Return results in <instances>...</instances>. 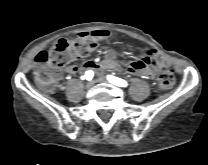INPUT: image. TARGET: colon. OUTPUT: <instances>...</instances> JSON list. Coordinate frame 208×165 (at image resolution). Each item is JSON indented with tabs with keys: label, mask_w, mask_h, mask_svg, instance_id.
Instances as JSON below:
<instances>
[{
	"label": "colon",
	"mask_w": 208,
	"mask_h": 165,
	"mask_svg": "<svg viewBox=\"0 0 208 165\" xmlns=\"http://www.w3.org/2000/svg\"><path fill=\"white\" fill-rule=\"evenodd\" d=\"M98 38L92 33H81L73 39H61L50 50L41 51L35 56L33 72L35 82L46 91H53L60 78L65 63H74L88 55L97 46ZM162 90H169L175 84V75L164 70L158 77Z\"/></svg>",
	"instance_id": "obj_1"
}]
</instances>
